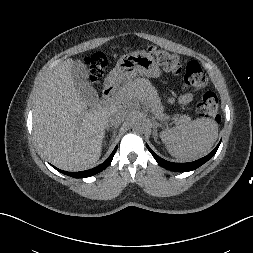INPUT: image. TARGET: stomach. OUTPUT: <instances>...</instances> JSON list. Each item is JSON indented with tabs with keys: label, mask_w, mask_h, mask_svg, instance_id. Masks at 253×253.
<instances>
[{
	"label": "stomach",
	"mask_w": 253,
	"mask_h": 253,
	"mask_svg": "<svg viewBox=\"0 0 253 253\" xmlns=\"http://www.w3.org/2000/svg\"><path fill=\"white\" fill-rule=\"evenodd\" d=\"M139 73L153 78L161 76V70L150 54L142 51L131 52L120 57L115 68L107 77L106 83L110 86L116 85L130 80Z\"/></svg>",
	"instance_id": "stomach-1"
}]
</instances>
